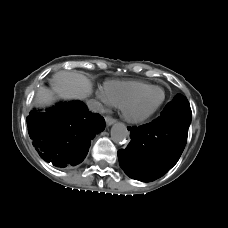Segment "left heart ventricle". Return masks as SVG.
<instances>
[{"mask_svg": "<svg viewBox=\"0 0 228 228\" xmlns=\"http://www.w3.org/2000/svg\"><path fill=\"white\" fill-rule=\"evenodd\" d=\"M162 98V91L151 90L143 95L135 104L130 107L132 113H141L155 107Z\"/></svg>", "mask_w": 228, "mask_h": 228, "instance_id": "1", "label": "left heart ventricle"}]
</instances>
